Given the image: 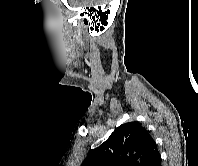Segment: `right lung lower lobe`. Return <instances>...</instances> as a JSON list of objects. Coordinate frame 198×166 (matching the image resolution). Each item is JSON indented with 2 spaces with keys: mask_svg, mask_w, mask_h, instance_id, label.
Returning <instances> with one entry per match:
<instances>
[{
  "mask_svg": "<svg viewBox=\"0 0 198 166\" xmlns=\"http://www.w3.org/2000/svg\"><path fill=\"white\" fill-rule=\"evenodd\" d=\"M148 166H161V156L160 154L156 155L153 160L149 163Z\"/></svg>",
  "mask_w": 198,
  "mask_h": 166,
  "instance_id": "98d812e1",
  "label": "right lung lower lobe"
}]
</instances>
